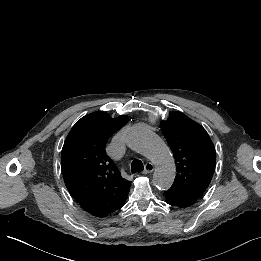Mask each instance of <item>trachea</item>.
I'll list each match as a JSON object with an SVG mask.
<instances>
[{"mask_svg":"<svg viewBox=\"0 0 261 261\" xmlns=\"http://www.w3.org/2000/svg\"><path fill=\"white\" fill-rule=\"evenodd\" d=\"M144 170L143 163L139 159H135L131 164V172L135 174L137 172H142Z\"/></svg>","mask_w":261,"mask_h":261,"instance_id":"trachea-1","label":"trachea"}]
</instances>
